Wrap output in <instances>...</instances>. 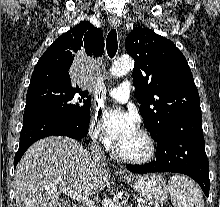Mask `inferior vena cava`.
<instances>
[{"instance_id": "602c4592", "label": "inferior vena cava", "mask_w": 220, "mask_h": 207, "mask_svg": "<svg viewBox=\"0 0 220 207\" xmlns=\"http://www.w3.org/2000/svg\"><path fill=\"white\" fill-rule=\"evenodd\" d=\"M91 150H92L91 155L95 162H105L104 152L101 151V147H99V145H97L96 143L93 144Z\"/></svg>"}]
</instances>
